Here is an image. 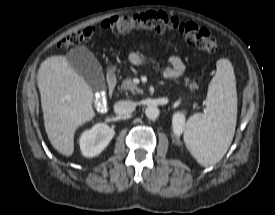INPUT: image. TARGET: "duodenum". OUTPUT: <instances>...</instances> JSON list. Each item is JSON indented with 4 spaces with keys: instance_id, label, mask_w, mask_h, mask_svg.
Wrapping results in <instances>:
<instances>
[{
    "instance_id": "obj_1",
    "label": "duodenum",
    "mask_w": 275,
    "mask_h": 215,
    "mask_svg": "<svg viewBox=\"0 0 275 215\" xmlns=\"http://www.w3.org/2000/svg\"><path fill=\"white\" fill-rule=\"evenodd\" d=\"M117 77L114 72H108L107 74V89L109 95H112L116 89Z\"/></svg>"
}]
</instances>
